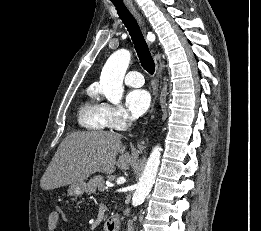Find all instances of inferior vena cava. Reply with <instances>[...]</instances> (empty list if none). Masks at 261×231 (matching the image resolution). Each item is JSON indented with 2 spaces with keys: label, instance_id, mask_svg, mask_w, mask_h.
<instances>
[{
  "label": "inferior vena cava",
  "instance_id": "1",
  "mask_svg": "<svg viewBox=\"0 0 261 231\" xmlns=\"http://www.w3.org/2000/svg\"><path fill=\"white\" fill-rule=\"evenodd\" d=\"M132 122H133V118L130 117V118L128 119V126H129V127L132 125Z\"/></svg>",
  "mask_w": 261,
  "mask_h": 231
}]
</instances>
